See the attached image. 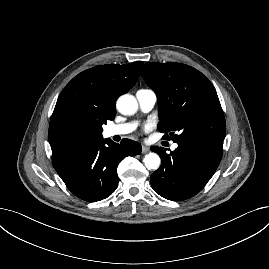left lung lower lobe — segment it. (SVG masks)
Returning a JSON list of instances; mask_svg holds the SVG:
<instances>
[{
	"mask_svg": "<svg viewBox=\"0 0 269 269\" xmlns=\"http://www.w3.org/2000/svg\"><path fill=\"white\" fill-rule=\"evenodd\" d=\"M170 153L158 146L151 147L162 160L151 177V186L160 196L182 201L200 192L216 171L223 154V141L190 139L176 141Z\"/></svg>",
	"mask_w": 269,
	"mask_h": 269,
	"instance_id": "left-lung-lower-lobe-1",
	"label": "left lung lower lobe"
}]
</instances>
